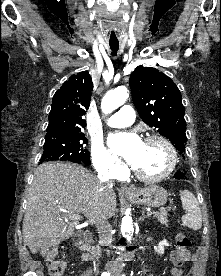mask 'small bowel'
<instances>
[{
	"label": "small bowel",
	"instance_id": "c3829d8e",
	"mask_svg": "<svg viewBox=\"0 0 221 276\" xmlns=\"http://www.w3.org/2000/svg\"><path fill=\"white\" fill-rule=\"evenodd\" d=\"M190 258L191 255L188 250L175 248L170 254V261L174 264V268L171 271L172 276H183V264L189 261ZM83 259L89 261L90 257L85 254Z\"/></svg>",
	"mask_w": 221,
	"mask_h": 276
}]
</instances>
